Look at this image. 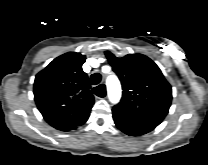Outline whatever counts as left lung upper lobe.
I'll use <instances>...</instances> for the list:
<instances>
[{
	"mask_svg": "<svg viewBox=\"0 0 208 165\" xmlns=\"http://www.w3.org/2000/svg\"><path fill=\"white\" fill-rule=\"evenodd\" d=\"M105 54L123 89L122 99L113 107V113L158 126L172 100L171 86L159 67L142 54H128L122 58L109 51Z\"/></svg>",
	"mask_w": 208,
	"mask_h": 165,
	"instance_id": "left-lung-upper-lobe-1",
	"label": "left lung upper lobe"
}]
</instances>
